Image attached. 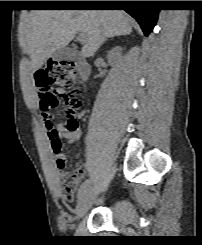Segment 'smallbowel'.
<instances>
[{
  "mask_svg": "<svg viewBox=\"0 0 202 245\" xmlns=\"http://www.w3.org/2000/svg\"><path fill=\"white\" fill-rule=\"evenodd\" d=\"M53 109L56 110V100L54 99ZM47 131L56 130L59 136L63 135L66 139H77L80 135V130L76 125L73 129L68 130L66 127H63L60 123H53L51 127H47ZM48 140L51 145V149L54 155V167L53 173L56 175L59 183L66 184L70 177L72 178L71 182L66 185L65 193L67 196H70L74 193L75 189L80 184L81 180L86 175V166L79 167L72 175L65 171V167L67 165V158L62 150H55L52 145V140L48 137Z\"/></svg>",
  "mask_w": 202,
  "mask_h": 245,
  "instance_id": "c3829d8e",
  "label": "small bowel"
}]
</instances>
